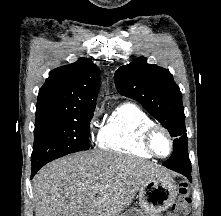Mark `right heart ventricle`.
<instances>
[{"instance_id":"right-heart-ventricle-1","label":"right heart ventricle","mask_w":221,"mask_h":216,"mask_svg":"<svg viewBox=\"0 0 221 216\" xmlns=\"http://www.w3.org/2000/svg\"><path fill=\"white\" fill-rule=\"evenodd\" d=\"M152 124L154 121L146 111L134 103L125 102L106 118L99 131L98 145L118 154L152 158L141 144L143 130Z\"/></svg>"}]
</instances>
